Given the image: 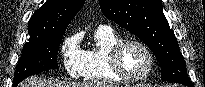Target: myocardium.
I'll use <instances>...</instances> for the list:
<instances>
[{"label": "myocardium", "instance_id": "obj_1", "mask_svg": "<svg viewBox=\"0 0 205 87\" xmlns=\"http://www.w3.org/2000/svg\"><path fill=\"white\" fill-rule=\"evenodd\" d=\"M128 44H135L141 47L147 55L148 66L147 69L138 76H131L127 74L120 63V55L123 48ZM109 65L116 77L120 80L130 83L141 82L145 80L153 71L154 68V56L151 49L146 43L136 38H127L119 40L109 51L108 54Z\"/></svg>", "mask_w": 205, "mask_h": 87}]
</instances>
